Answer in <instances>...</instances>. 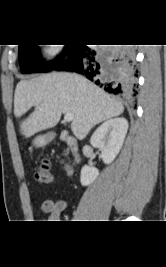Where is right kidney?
Returning <instances> with one entry per match:
<instances>
[{
	"mask_svg": "<svg viewBox=\"0 0 166 267\" xmlns=\"http://www.w3.org/2000/svg\"><path fill=\"white\" fill-rule=\"evenodd\" d=\"M128 130V121L118 117L105 121L91 137L90 143L102 152L105 164L111 163L122 148ZM99 171L93 166H83L81 169L80 182L88 186L98 177Z\"/></svg>",
	"mask_w": 166,
	"mask_h": 267,
	"instance_id": "1",
	"label": "right kidney"
}]
</instances>
